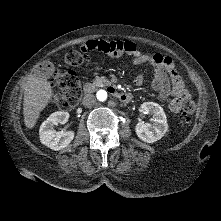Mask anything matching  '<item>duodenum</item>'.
<instances>
[{
  "label": "duodenum",
  "instance_id": "duodenum-1",
  "mask_svg": "<svg viewBox=\"0 0 221 221\" xmlns=\"http://www.w3.org/2000/svg\"><path fill=\"white\" fill-rule=\"evenodd\" d=\"M93 90L94 86L92 84H86L84 87V94L88 95L93 92ZM109 92L123 103H128L133 99V95L131 93L117 91L114 87H109Z\"/></svg>",
  "mask_w": 221,
  "mask_h": 221
}]
</instances>
